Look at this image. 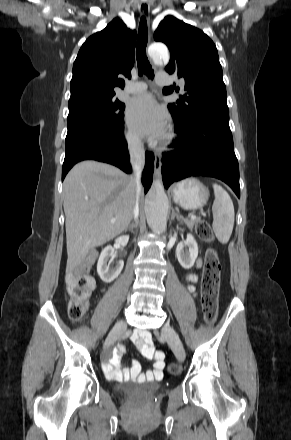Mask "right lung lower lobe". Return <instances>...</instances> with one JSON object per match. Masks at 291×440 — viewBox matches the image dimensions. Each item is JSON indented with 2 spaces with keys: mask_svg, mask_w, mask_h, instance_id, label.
<instances>
[{
  "mask_svg": "<svg viewBox=\"0 0 291 440\" xmlns=\"http://www.w3.org/2000/svg\"><path fill=\"white\" fill-rule=\"evenodd\" d=\"M123 120L116 125H101L87 120L68 122L62 180L68 171L82 160H97L115 165L131 173L130 158L123 134ZM142 183L145 193L152 183L154 155L146 152Z\"/></svg>",
  "mask_w": 291,
  "mask_h": 440,
  "instance_id": "obj_1",
  "label": "right lung lower lobe"
}]
</instances>
